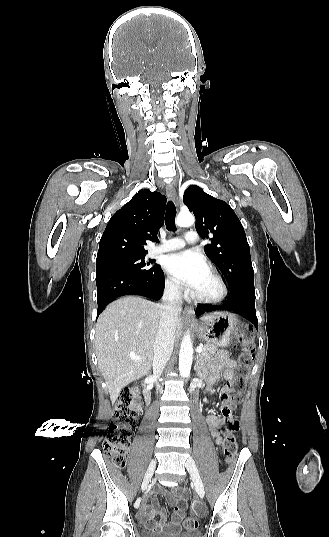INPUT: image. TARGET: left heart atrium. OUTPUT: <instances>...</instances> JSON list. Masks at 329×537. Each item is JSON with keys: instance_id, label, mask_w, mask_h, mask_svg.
Here are the masks:
<instances>
[{"instance_id": "left-heart-atrium-1", "label": "left heart atrium", "mask_w": 329, "mask_h": 537, "mask_svg": "<svg viewBox=\"0 0 329 537\" xmlns=\"http://www.w3.org/2000/svg\"><path fill=\"white\" fill-rule=\"evenodd\" d=\"M165 270L178 282L195 292L208 272L207 264L201 253L186 250L165 257Z\"/></svg>"}]
</instances>
